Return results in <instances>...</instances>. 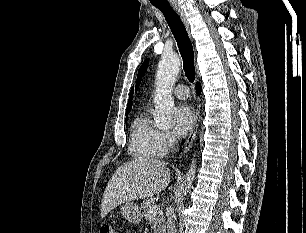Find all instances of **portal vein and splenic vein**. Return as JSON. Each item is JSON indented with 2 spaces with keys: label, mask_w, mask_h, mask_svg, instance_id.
<instances>
[{
  "label": "portal vein and splenic vein",
  "mask_w": 306,
  "mask_h": 233,
  "mask_svg": "<svg viewBox=\"0 0 306 233\" xmlns=\"http://www.w3.org/2000/svg\"><path fill=\"white\" fill-rule=\"evenodd\" d=\"M159 206L158 205H152L149 210H148V213L149 215H156L157 212H159Z\"/></svg>",
  "instance_id": "1"
}]
</instances>
